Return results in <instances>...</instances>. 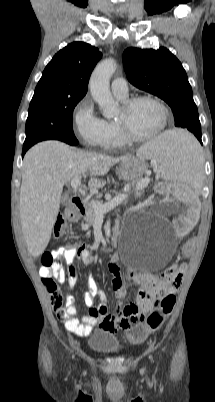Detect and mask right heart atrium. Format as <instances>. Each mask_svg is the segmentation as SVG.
Returning <instances> with one entry per match:
<instances>
[{
    "label": "right heart atrium",
    "mask_w": 215,
    "mask_h": 402,
    "mask_svg": "<svg viewBox=\"0 0 215 402\" xmlns=\"http://www.w3.org/2000/svg\"><path fill=\"white\" fill-rule=\"evenodd\" d=\"M74 131L76 136L89 147L106 145L110 130L107 122L100 118L90 98L82 99L73 111Z\"/></svg>",
    "instance_id": "obj_1"
}]
</instances>
